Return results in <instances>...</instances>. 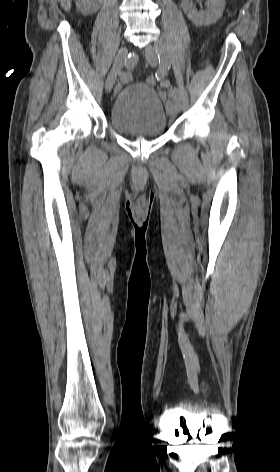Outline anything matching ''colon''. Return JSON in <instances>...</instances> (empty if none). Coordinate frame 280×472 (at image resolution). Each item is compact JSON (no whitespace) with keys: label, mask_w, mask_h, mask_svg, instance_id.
<instances>
[{"label":"colon","mask_w":280,"mask_h":472,"mask_svg":"<svg viewBox=\"0 0 280 472\" xmlns=\"http://www.w3.org/2000/svg\"><path fill=\"white\" fill-rule=\"evenodd\" d=\"M146 82L149 85H155L157 83V78L154 75H150V76L147 77Z\"/></svg>","instance_id":"colon-1"}]
</instances>
